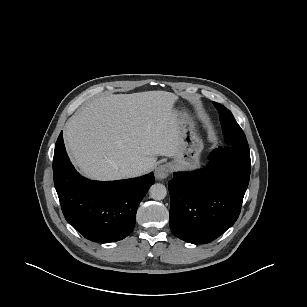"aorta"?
Wrapping results in <instances>:
<instances>
[{
    "instance_id": "1",
    "label": "aorta",
    "mask_w": 307,
    "mask_h": 307,
    "mask_svg": "<svg viewBox=\"0 0 307 307\" xmlns=\"http://www.w3.org/2000/svg\"><path fill=\"white\" fill-rule=\"evenodd\" d=\"M149 192H150L151 198H153L154 200H162L167 195L166 187L161 183L153 184L150 187Z\"/></svg>"
}]
</instances>
